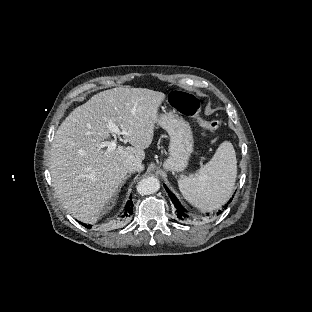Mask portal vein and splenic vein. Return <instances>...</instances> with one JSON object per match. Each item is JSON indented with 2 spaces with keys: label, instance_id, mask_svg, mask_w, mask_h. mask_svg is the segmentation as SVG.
<instances>
[{
  "label": "portal vein and splenic vein",
  "instance_id": "obj_1",
  "mask_svg": "<svg viewBox=\"0 0 312 312\" xmlns=\"http://www.w3.org/2000/svg\"><path fill=\"white\" fill-rule=\"evenodd\" d=\"M107 128L109 130L112 131V134L114 135L115 138H119L121 135L122 136H131V132L129 131H121L119 129V127L116 125L114 120H111L107 126ZM99 148H108V149H115L117 147V140H113V141H109V140H105L103 142H101L100 144H98Z\"/></svg>",
  "mask_w": 312,
  "mask_h": 312
}]
</instances>
